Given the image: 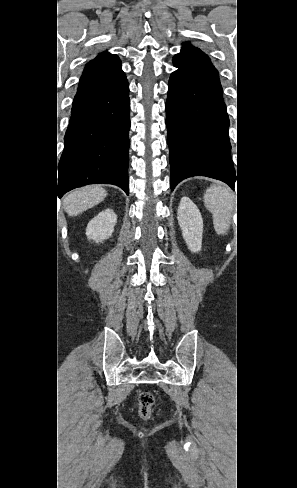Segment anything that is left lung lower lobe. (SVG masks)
Masks as SVG:
<instances>
[{
	"label": "left lung lower lobe",
	"instance_id": "obj_1",
	"mask_svg": "<svg viewBox=\"0 0 297 488\" xmlns=\"http://www.w3.org/2000/svg\"><path fill=\"white\" fill-rule=\"evenodd\" d=\"M166 126L172 190L192 176L218 179L234 189L236 173L223 98L173 72L168 84Z\"/></svg>",
	"mask_w": 297,
	"mask_h": 488
}]
</instances>
